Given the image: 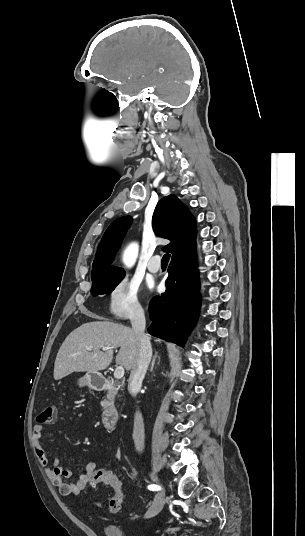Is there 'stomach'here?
<instances>
[{
  "label": "stomach",
  "mask_w": 305,
  "mask_h": 536,
  "mask_svg": "<svg viewBox=\"0 0 305 536\" xmlns=\"http://www.w3.org/2000/svg\"><path fill=\"white\" fill-rule=\"evenodd\" d=\"M104 380L103 378H100L98 376L97 372H91V374H85L83 378H79L78 380V386L80 388H83V386H89V388H99V386H103Z\"/></svg>",
  "instance_id": "1"
}]
</instances>
